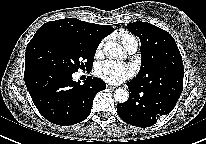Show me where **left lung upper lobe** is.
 Returning <instances> with one entry per match:
<instances>
[{
  "instance_id": "left-lung-upper-lobe-1",
  "label": "left lung upper lobe",
  "mask_w": 206,
  "mask_h": 144,
  "mask_svg": "<svg viewBox=\"0 0 206 144\" xmlns=\"http://www.w3.org/2000/svg\"><path fill=\"white\" fill-rule=\"evenodd\" d=\"M127 28L141 41V68L134 82L152 87L183 80L182 57L167 31L141 21L129 23Z\"/></svg>"
}]
</instances>
